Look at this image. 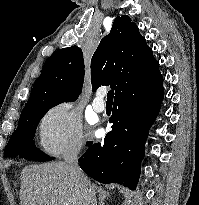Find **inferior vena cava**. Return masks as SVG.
I'll list each match as a JSON object with an SVG mask.
<instances>
[{
    "label": "inferior vena cava",
    "mask_w": 199,
    "mask_h": 205,
    "mask_svg": "<svg viewBox=\"0 0 199 205\" xmlns=\"http://www.w3.org/2000/svg\"><path fill=\"white\" fill-rule=\"evenodd\" d=\"M78 155H79V150H72L66 155V162L68 166L70 167L72 173L79 178L80 180L83 179V173L79 167L78 164Z\"/></svg>",
    "instance_id": "1"
}]
</instances>
